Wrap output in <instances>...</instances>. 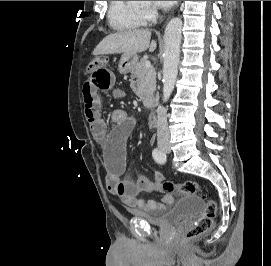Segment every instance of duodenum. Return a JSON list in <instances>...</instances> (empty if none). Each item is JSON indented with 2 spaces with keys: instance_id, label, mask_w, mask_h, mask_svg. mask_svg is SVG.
Masks as SVG:
<instances>
[{
  "instance_id": "duodenum-1",
  "label": "duodenum",
  "mask_w": 271,
  "mask_h": 266,
  "mask_svg": "<svg viewBox=\"0 0 271 266\" xmlns=\"http://www.w3.org/2000/svg\"><path fill=\"white\" fill-rule=\"evenodd\" d=\"M145 101H146V103H147L148 105H150V106H154V104H155V98L152 97V96L147 97V98L145 99Z\"/></svg>"
}]
</instances>
